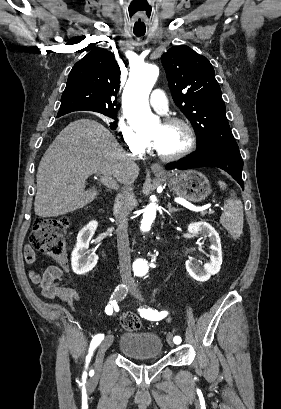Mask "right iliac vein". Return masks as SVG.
<instances>
[{
	"instance_id": "63e3f726",
	"label": "right iliac vein",
	"mask_w": 281,
	"mask_h": 409,
	"mask_svg": "<svg viewBox=\"0 0 281 409\" xmlns=\"http://www.w3.org/2000/svg\"><path fill=\"white\" fill-rule=\"evenodd\" d=\"M112 343H113V336L106 337L105 340L101 343L98 349L97 355H96L95 365H96L97 370H100L102 366L104 354L106 350L111 346Z\"/></svg>"
}]
</instances>
